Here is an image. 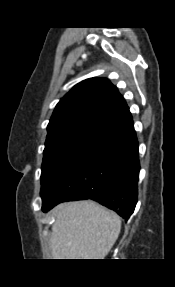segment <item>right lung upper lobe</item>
Segmentation results:
<instances>
[{"instance_id":"cb5924a9","label":"right lung upper lobe","mask_w":175,"mask_h":287,"mask_svg":"<svg viewBox=\"0 0 175 287\" xmlns=\"http://www.w3.org/2000/svg\"><path fill=\"white\" fill-rule=\"evenodd\" d=\"M132 118L118 89L105 78H89L75 85L56 105L48 132L86 123L117 126Z\"/></svg>"}]
</instances>
